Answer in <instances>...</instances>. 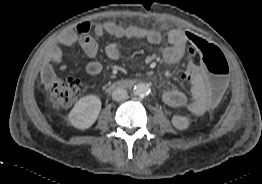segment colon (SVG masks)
<instances>
[{
    "instance_id": "colon-1",
    "label": "colon",
    "mask_w": 262,
    "mask_h": 184,
    "mask_svg": "<svg viewBox=\"0 0 262 184\" xmlns=\"http://www.w3.org/2000/svg\"><path fill=\"white\" fill-rule=\"evenodd\" d=\"M114 26L120 27L118 22ZM197 60L205 67L209 76L207 88L212 107L220 104L228 85L229 65L222 51L202 38L193 41ZM50 102L55 108L73 104L82 92V85L75 78H56L50 85Z\"/></svg>"
}]
</instances>
